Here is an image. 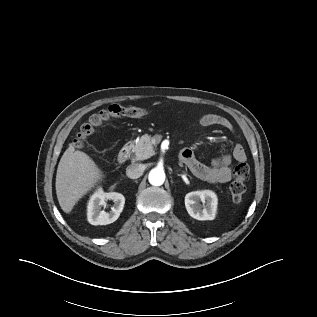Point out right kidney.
I'll use <instances>...</instances> for the list:
<instances>
[{"label": "right kidney", "mask_w": 317, "mask_h": 317, "mask_svg": "<svg viewBox=\"0 0 317 317\" xmlns=\"http://www.w3.org/2000/svg\"><path fill=\"white\" fill-rule=\"evenodd\" d=\"M107 200H113L114 204L110 212L101 210ZM125 197L121 193H105L102 188H98L90 197L87 205L88 221L92 225H107L116 221L123 210Z\"/></svg>", "instance_id": "ca27d5eb"}]
</instances>
